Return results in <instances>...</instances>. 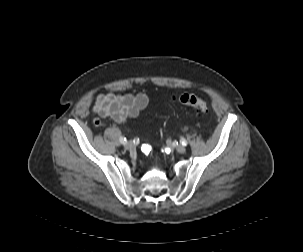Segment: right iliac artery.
I'll return each instance as SVG.
<instances>
[{
  "label": "right iliac artery",
  "mask_w": 303,
  "mask_h": 252,
  "mask_svg": "<svg viewBox=\"0 0 303 252\" xmlns=\"http://www.w3.org/2000/svg\"><path fill=\"white\" fill-rule=\"evenodd\" d=\"M120 142L123 143V144L126 143V138L124 136H121L120 137Z\"/></svg>",
  "instance_id": "obj_1"
}]
</instances>
